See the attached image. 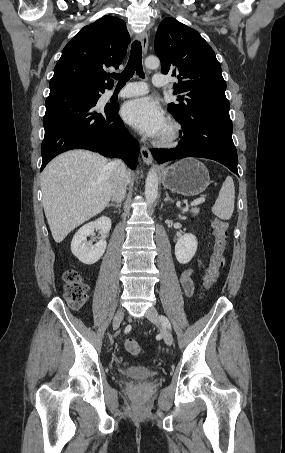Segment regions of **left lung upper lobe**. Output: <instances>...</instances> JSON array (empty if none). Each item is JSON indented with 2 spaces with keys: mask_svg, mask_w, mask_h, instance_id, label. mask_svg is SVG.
Wrapping results in <instances>:
<instances>
[{
  "mask_svg": "<svg viewBox=\"0 0 285 453\" xmlns=\"http://www.w3.org/2000/svg\"><path fill=\"white\" fill-rule=\"evenodd\" d=\"M155 53L161 60L162 72L179 79L174 94L182 96L168 106L176 118L190 117L195 112L229 115L221 66L196 30L175 18L164 19L156 33Z\"/></svg>",
  "mask_w": 285,
  "mask_h": 453,
  "instance_id": "obj_1",
  "label": "left lung upper lobe"
}]
</instances>
